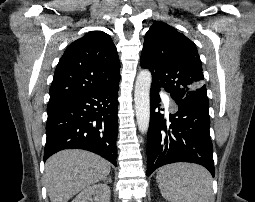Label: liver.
<instances>
[{"mask_svg":"<svg viewBox=\"0 0 255 202\" xmlns=\"http://www.w3.org/2000/svg\"><path fill=\"white\" fill-rule=\"evenodd\" d=\"M111 164L102 157L79 149L52 155L45 164L44 178L51 202H68L81 190L103 180Z\"/></svg>","mask_w":255,"mask_h":202,"instance_id":"obj_1","label":"liver"}]
</instances>
